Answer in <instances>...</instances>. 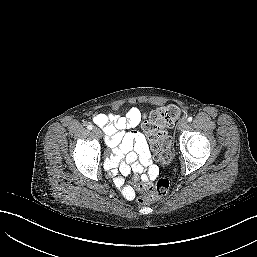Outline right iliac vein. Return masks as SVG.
Instances as JSON below:
<instances>
[{
	"mask_svg": "<svg viewBox=\"0 0 257 257\" xmlns=\"http://www.w3.org/2000/svg\"><path fill=\"white\" fill-rule=\"evenodd\" d=\"M92 132L97 137H101L102 136V132L98 128H93Z\"/></svg>",
	"mask_w": 257,
	"mask_h": 257,
	"instance_id": "1",
	"label": "right iliac vein"
}]
</instances>
